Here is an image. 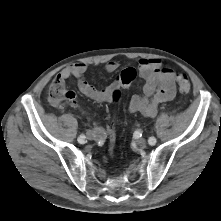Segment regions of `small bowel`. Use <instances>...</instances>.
Here are the masks:
<instances>
[{
    "mask_svg": "<svg viewBox=\"0 0 221 221\" xmlns=\"http://www.w3.org/2000/svg\"><path fill=\"white\" fill-rule=\"evenodd\" d=\"M118 68L119 64L116 61H110L105 65V71L108 73L115 72ZM87 69L86 63H74L58 73L54 81L64 83L68 78L75 77L78 90L84 96L95 102L105 103L113 101V92L120 87H128L138 74L144 80L142 94L131 97L128 110L146 117L155 116L160 104L171 101L176 96L174 71L169 66H162L161 60L156 58L140 59L138 70L126 68L115 81L104 88H96L85 79ZM123 80H129V84L123 85ZM69 102L76 104V101ZM95 132L99 137L103 135L101 128H96Z\"/></svg>",
    "mask_w": 221,
    "mask_h": 221,
    "instance_id": "c3829d8e",
    "label": "small bowel"
}]
</instances>
